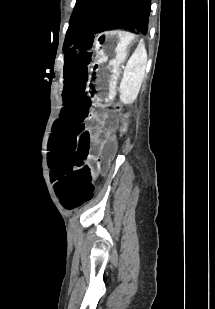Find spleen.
I'll return each mask as SVG.
<instances>
[{"instance_id": "1", "label": "spleen", "mask_w": 215, "mask_h": 309, "mask_svg": "<svg viewBox=\"0 0 215 309\" xmlns=\"http://www.w3.org/2000/svg\"><path fill=\"white\" fill-rule=\"evenodd\" d=\"M146 62L145 44L140 40L125 66L124 76L120 82V100L124 104H131L137 98L144 78Z\"/></svg>"}]
</instances>
